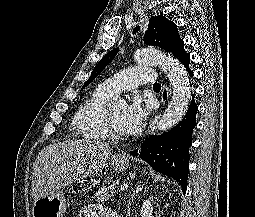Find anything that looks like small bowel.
I'll use <instances>...</instances> for the list:
<instances>
[{
    "label": "small bowel",
    "instance_id": "c3829d8e",
    "mask_svg": "<svg viewBox=\"0 0 255 217\" xmlns=\"http://www.w3.org/2000/svg\"><path fill=\"white\" fill-rule=\"evenodd\" d=\"M79 217H119L116 212L102 205L90 204L81 208Z\"/></svg>",
    "mask_w": 255,
    "mask_h": 217
}]
</instances>
